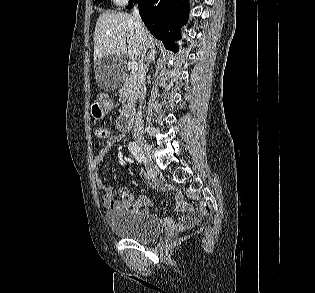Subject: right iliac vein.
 Returning a JSON list of instances; mask_svg holds the SVG:
<instances>
[{"instance_id": "1", "label": "right iliac vein", "mask_w": 315, "mask_h": 293, "mask_svg": "<svg viewBox=\"0 0 315 293\" xmlns=\"http://www.w3.org/2000/svg\"><path fill=\"white\" fill-rule=\"evenodd\" d=\"M135 141L138 144L144 158L146 159L148 166L150 168H152L153 167V161H152L151 156H150V151H149V147H148L147 142L145 141L144 138L139 137V136L135 138Z\"/></svg>"}]
</instances>
